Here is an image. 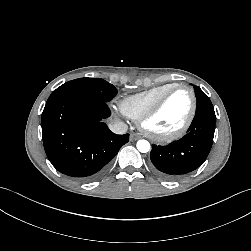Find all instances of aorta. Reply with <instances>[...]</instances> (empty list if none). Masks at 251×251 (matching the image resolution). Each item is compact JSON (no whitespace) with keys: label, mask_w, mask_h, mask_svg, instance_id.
I'll return each mask as SVG.
<instances>
[{"label":"aorta","mask_w":251,"mask_h":251,"mask_svg":"<svg viewBox=\"0 0 251 251\" xmlns=\"http://www.w3.org/2000/svg\"><path fill=\"white\" fill-rule=\"evenodd\" d=\"M137 149L141 153H147L150 150V143L147 140H139L137 142Z\"/></svg>","instance_id":"obj_1"}]
</instances>
